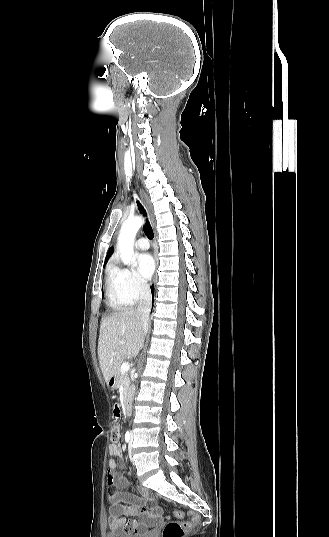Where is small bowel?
<instances>
[{
	"label": "small bowel",
	"instance_id": "1",
	"mask_svg": "<svg viewBox=\"0 0 329 537\" xmlns=\"http://www.w3.org/2000/svg\"><path fill=\"white\" fill-rule=\"evenodd\" d=\"M115 420H122L123 405L116 401L112 405ZM109 453L112 457L122 459L123 453L120 444L111 443ZM115 459L108 461L107 496L110 501L109 527L114 531L142 534L149 528L161 522V509L158 507L148 489L140 487L141 496L124 491L129 481L117 469L120 467ZM130 517L131 519H127Z\"/></svg>",
	"mask_w": 329,
	"mask_h": 537
}]
</instances>
